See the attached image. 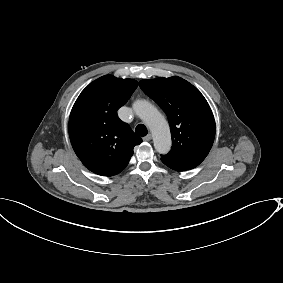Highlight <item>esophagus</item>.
Returning <instances> with one entry per match:
<instances>
[{"mask_svg": "<svg viewBox=\"0 0 283 283\" xmlns=\"http://www.w3.org/2000/svg\"><path fill=\"white\" fill-rule=\"evenodd\" d=\"M152 139V135L149 133L145 137H143V141H150Z\"/></svg>", "mask_w": 283, "mask_h": 283, "instance_id": "esophagus-1", "label": "esophagus"}]
</instances>
